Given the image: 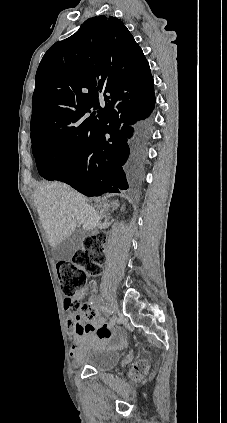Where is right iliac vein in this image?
<instances>
[{
    "label": "right iliac vein",
    "mask_w": 227,
    "mask_h": 423,
    "mask_svg": "<svg viewBox=\"0 0 227 423\" xmlns=\"http://www.w3.org/2000/svg\"><path fill=\"white\" fill-rule=\"evenodd\" d=\"M110 308L112 312H115L117 310V304L114 300L110 302Z\"/></svg>",
    "instance_id": "obj_1"
}]
</instances>
